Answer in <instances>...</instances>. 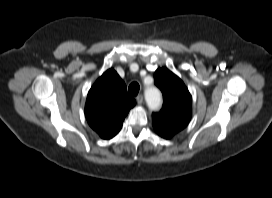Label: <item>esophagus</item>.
I'll list each match as a JSON object with an SVG mask.
<instances>
[{
  "instance_id": "esophagus-1",
  "label": "esophagus",
  "mask_w": 272,
  "mask_h": 198,
  "mask_svg": "<svg viewBox=\"0 0 272 198\" xmlns=\"http://www.w3.org/2000/svg\"><path fill=\"white\" fill-rule=\"evenodd\" d=\"M136 100H137V103H138L139 105L142 104V103H143V100H144V99H143V95H141V94L138 95L137 98H136Z\"/></svg>"
}]
</instances>
